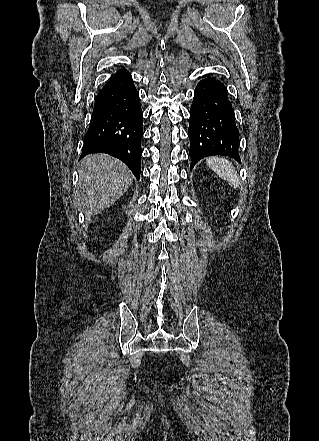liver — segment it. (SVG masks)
Masks as SVG:
<instances>
[{
    "label": "liver",
    "instance_id": "1",
    "mask_svg": "<svg viewBox=\"0 0 319 441\" xmlns=\"http://www.w3.org/2000/svg\"><path fill=\"white\" fill-rule=\"evenodd\" d=\"M128 167L109 155L95 153L81 160L75 200L86 215L99 214L118 200L132 183Z\"/></svg>",
    "mask_w": 319,
    "mask_h": 441
}]
</instances>
